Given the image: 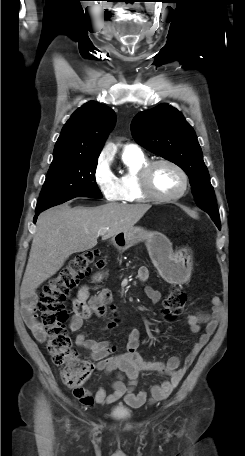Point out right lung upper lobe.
<instances>
[{"mask_svg":"<svg viewBox=\"0 0 245 456\" xmlns=\"http://www.w3.org/2000/svg\"><path fill=\"white\" fill-rule=\"evenodd\" d=\"M115 121L116 114L108 106L96 101L84 104L64 125L52 163L72 158H98Z\"/></svg>","mask_w":245,"mask_h":456,"instance_id":"obj_1","label":"right lung upper lobe"}]
</instances>
